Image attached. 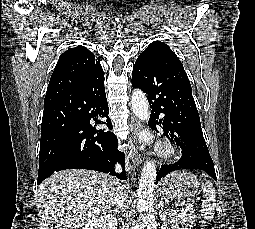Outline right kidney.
<instances>
[{
    "label": "right kidney",
    "instance_id": "right-kidney-1",
    "mask_svg": "<svg viewBox=\"0 0 255 229\" xmlns=\"http://www.w3.org/2000/svg\"><path fill=\"white\" fill-rule=\"evenodd\" d=\"M82 229H117V219L112 215H104L85 224Z\"/></svg>",
    "mask_w": 255,
    "mask_h": 229
}]
</instances>
